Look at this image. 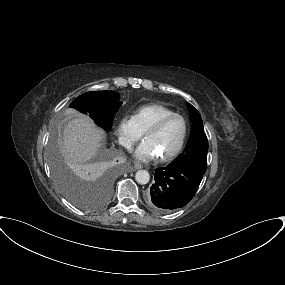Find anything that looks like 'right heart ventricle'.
I'll use <instances>...</instances> for the list:
<instances>
[{
  "label": "right heart ventricle",
  "instance_id": "1",
  "mask_svg": "<svg viewBox=\"0 0 285 285\" xmlns=\"http://www.w3.org/2000/svg\"><path fill=\"white\" fill-rule=\"evenodd\" d=\"M174 114L169 108L160 104H149L139 107L134 114L137 127L143 133L163 117Z\"/></svg>",
  "mask_w": 285,
  "mask_h": 285
}]
</instances>
